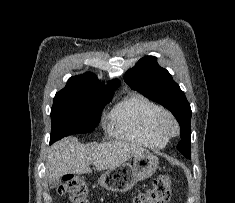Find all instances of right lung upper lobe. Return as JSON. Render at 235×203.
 Masks as SVG:
<instances>
[{"instance_id": "obj_1", "label": "right lung upper lobe", "mask_w": 235, "mask_h": 203, "mask_svg": "<svg viewBox=\"0 0 235 203\" xmlns=\"http://www.w3.org/2000/svg\"><path fill=\"white\" fill-rule=\"evenodd\" d=\"M120 85L118 79H114L109 82L108 85L101 83L93 73H85L83 75H78L71 77L65 88L61 91H90L97 93H113L115 89Z\"/></svg>"}]
</instances>
